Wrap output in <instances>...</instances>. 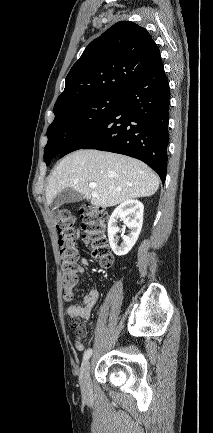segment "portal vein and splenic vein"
<instances>
[{
	"label": "portal vein and splenic vein",
	"instance_id": "1",
	"mask_svg": "<svg viewBox=\"0 0 213 433\" xmlns=\"http://www.w3.org/2000/svg\"><path fill=\"white\" fill-rule=\"evenodd\" d=\"M96 186H97L96 183H89V187H90V188H95Z\"/></svg>",
	"mask_w": 213,
	"mask_h": 433
}]
</instances>
